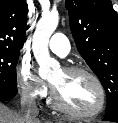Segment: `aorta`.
Segmentation results:
<instances>
[{
    "instance_id": "aorta-1",
    "label": "aorta",
    "mask_w": 118,
    "mask_h": 123,
    "mask_svg": "<svg viewBox=\"0 0 118 123\" xmlns=\"http://www.w3.org/2000/svg\"><path fill=\"white\" fill-rule=\"evenodd\" d=\"M58 22L59 15L56 12L43 15L33 35L32 50L39 64V75L43 78L50 76L52 68L57 65V62L50 57L48 44Z\"/></svg>"
}]
</instances>
